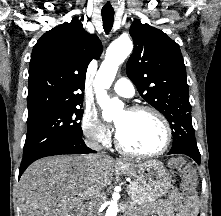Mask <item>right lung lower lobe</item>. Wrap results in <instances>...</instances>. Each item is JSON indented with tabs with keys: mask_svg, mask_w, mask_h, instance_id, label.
<instances>
[{
	"mask_svg": "<svg viewBox=\"0 0 221 216\" xmlns=\"http://www.w3.org/2000/svg\"><path fill=\"white\" fill-rule=\"evenodd\" d=\"M86 153H96V151L88 148L83 139L76 140H67L58 143H54L45 148L37 150L27 156H23L20 169H19V178L26 168L34 161L54 155L62 154H86Z\"/></svg>",
	"mask_w": 221,
	"mask_h": 216,
	"instance_id": "1",
	"label": "right lung lower lobe"
}]
</instances>
